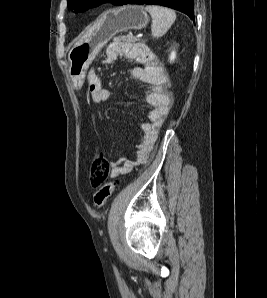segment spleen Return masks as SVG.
Segmentation results:
<instances>
[{"mask_svg": "<svg viewBox=\"0 0 267 298\" xmlns=\"http://www.w3.org/2000/svg\"><path fill=\"white\" fill-rule=\"evenodd\" d=\"M145 10L152 17V35L156 38L165 35L176 19L175 12L166 7L147 5Z\"/></svg>", "mask_w": 267, "mask_h": 298, "instance_id": "1", "label": "spleen"}]
</instances>
